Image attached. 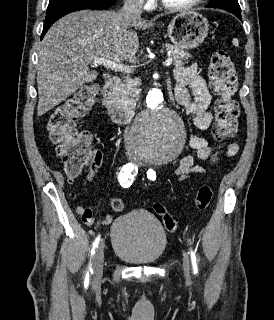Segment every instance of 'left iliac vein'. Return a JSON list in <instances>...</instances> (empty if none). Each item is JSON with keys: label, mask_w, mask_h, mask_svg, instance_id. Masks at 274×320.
Wrapping results in <instances>:
<instances>
[{"label": "left iliac vein", "mask_w": 274, "mask_h": 320, "mask_svg": "<svg viewBox=\"0 0 274 320\" xmlns=\"http://www.w3.org/2000/svg\"><path fill=\"white\" fill-rule=\"evenodd\" d=\"M190 260L187 254H184L183 256V269H184V273L185 275L188 277L190 274Z\"/></svg>", "instance_id": "obj_1"}]
</instances>
